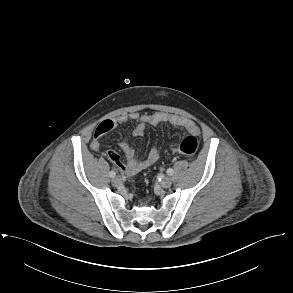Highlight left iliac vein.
Listing matches in <instances>:
<instances>
[{"mask_svg":"<svg viewBox=\"0 0 293 293\" xmlns=\"http://www.w3.org/2000/svg\"><path fill=\"white\" fill-rule=\"evenodd\" d=\"M172 184V181L169 177H164L160 183L163 188H169Z\"/></svg>","mask_w":293,"mask_h":293,"instance_id":"4c4485c4","label":"left iliac vein"}]
</instances>
